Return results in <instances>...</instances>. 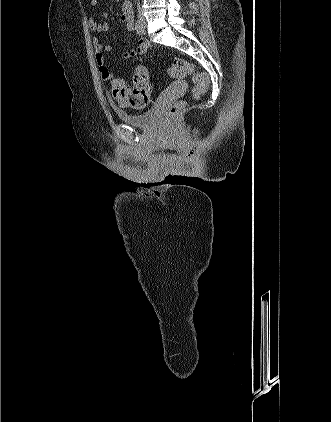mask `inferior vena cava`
<instances>
[{
  "label": "inferior vena cava",
  "instance_id": "inferior-vena-cava-1",
  "mask_svg": "<svg viewBox=\"0 0 331 422\" xmlns=\"http://www.w3.org/2000/svg\"><path fill=\"white\" fill-rule=\"evenodd\" d=\"M138 9H140V0H137Z\"/></svg>",
  "mask_w": 331,
  "mask_h": 422
}]
</instances>
